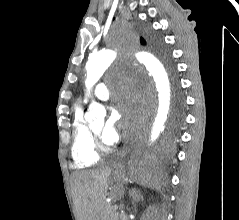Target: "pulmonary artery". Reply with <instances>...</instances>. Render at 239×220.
<instances>
[{
	"label": "pulmonary artery",
	"instance_id": "pulmonary-artery-1",
	"mask_svg": "<svg viewBox=\"0 0 239 220\" xmlns=\"http://www.w3.org/2000/svg\"><path fill=\"white\" fill-rule=\"evenodd\" d=\"M94 95L97 99L106 101L110 97L109 89L106 84L104 83H99L95 90H94ZM84 102H87V99L84 100Z\"/></svg>",
	"mask_w": 239,
	"mask_h": 220
}]
</instances>
